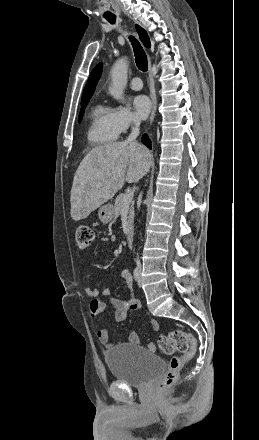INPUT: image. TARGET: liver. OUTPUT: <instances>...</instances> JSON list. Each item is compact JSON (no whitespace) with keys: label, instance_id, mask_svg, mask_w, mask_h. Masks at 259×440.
<instances>
[{"label":"liver","instance_id":"1","mask_svg":"<svg viewBox=\"0 0 259 440\" xmlns=\"http://www.w3.org/2000/svg\"><path fill=\"white\" fill-rule=\"evenodd\" d=\"M151 166L149 151L138 143L113 142L93 148L82 160L71 188V217L87 218L128 183L138 182Z\"/></svg>","mask_w":259,"mask_h":440}]
</instances>
